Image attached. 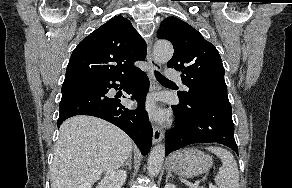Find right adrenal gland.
<instances>
[{
    "label": "right adrenal gland",
    "mask_w": 292,
    "mask_h": 188,
    "mask_svg": "<svg viewBox=\"0 0 292 188\" xmlns=\"http://www.w3.org/2000/svg\"><path fill=\"white\" fill-rule=\"evenodd\" d=\"M127 167L128 166V168L129 169H131L132 168V155H130V158L122 165V167Z\"/></svg>",
    "instance_id": "2a0ac1e0"
}]
</instances>
